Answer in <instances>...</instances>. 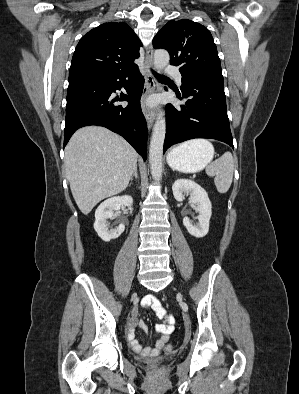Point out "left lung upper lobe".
Here are the masks:
<instances>
[{
    "mask_svg": "<svg viewBox=\"0 0 299 394\" xmlns=\"http://www.w3.org/2000/svg\"><path fill=\"white\" fill-rule=\"evenodd\" d=\"M155 49H166L170 64L179 66L182 76H222L216 45L209 30L191 20L169 21L153 39Z\"/></svg>",
    "mask_w": 299,
    "mask_h": 394,
    "instance_id": "obj_1",
    "label": "left lung upper lobe"
}]
</instances>
